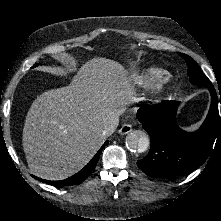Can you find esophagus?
Returning <instances> with one entry per match:
<instances>
[{
  "mask_svg": "<svg viewBox=\"0 0 221 221\" xmlns=\"http://www.w3.org/2000/svg\"><path fill=\"white\" fill-rule=\"evenodd\" d=\"M132 131V126L130 124H123L122 127L119 129V133L121 135L128 134Z\"/></svg>",
  "mask_w": 221,
  "mask_h": 221,
  "instance_id": "esophagus-1",
  "label": "esophagus"
}]
</instances>
